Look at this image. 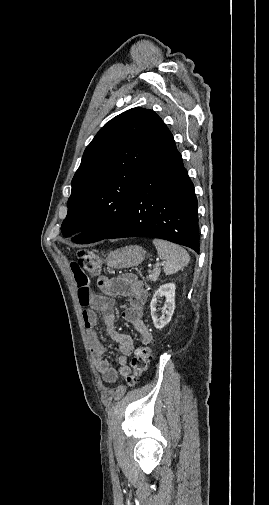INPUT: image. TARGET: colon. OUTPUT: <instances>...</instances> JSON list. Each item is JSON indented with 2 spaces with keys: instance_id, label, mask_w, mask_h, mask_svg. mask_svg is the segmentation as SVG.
<instances>
[{
  "instance_id": "5ec220e1",
  "label": "colon",
  "mask_w": 269,
  "mask_h": 505,
  "mask_svg": "<svg viewBox=\"0 0 269 505\" xmlns=\"http://www.w3.org/2000/svg\"><path fill=\"white\" fill-rule=\"evenodd\" d=\"M77 260L80 268H84L87 274H92V278H97V274L102 272L100 264V256L96 249H82L77 253ZM75 277V273H74ZM152 358V350L147 346H142L136 349L131 360V370L125 375L126 382L130 386H134L139 378L147 370L148 364Z\"/></svg>"
}]
</instances>
